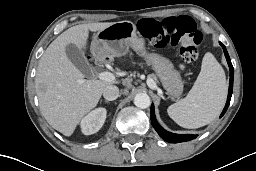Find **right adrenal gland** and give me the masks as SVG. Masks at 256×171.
<instances>
[{
	"label": "right adrenal gland",
	"instance_id": "2a0ac1e0",
	"mask_svg": "<svg viewBox=\"0 0 256 171\" xmlns=\"http://www.w3.org/2000/svg\"><path fill=\"white\" fill-rule=\"evenodd\" d=\"M105 103H110L109 101L105 100Z\"/></svg>",
	"mask_w": 256,
	"mask_h": 171
}]
</instances>
